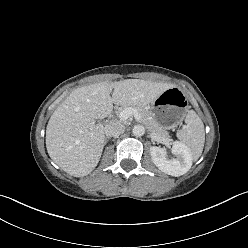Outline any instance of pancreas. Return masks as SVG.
I'll return each mask as SVG.
<instances>
[{
  "label": "pancreas",
  "mask_w": 248,
  "mask_h": 248,
  "mask_svg": "<svg viewBox=\"0 0 248 248\" xmlns=\"http://www.w3.org/2000/svg\"><path fill=\"white\" fill-rule=\"evenodd\" d=\"M128 107L129 106H125L124 109ZM130 107L135 108L138 111L141 121L145 123L153 133L157 134L161 138L168 137L169 135L168 131H166L155 120L151 118L150 111L146 107L143 106H130Z\"/></svg>",
  "instance_id": "cf45deb5"
}]
</instances>
